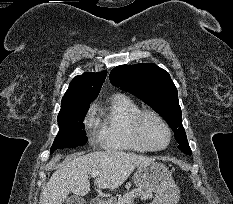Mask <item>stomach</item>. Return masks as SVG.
Wrapping results in <instances>:
<instances>
[{
	"mask_svg": "<svg viewBox=\"0 0 233 204\" xmlns=\"http://www.w3.org/2000/svg\"><path fill=\"white\" fill-rule=\"evenodd\" d=\"M133 179L138 188L156 194L152 204H177L179 201V189L162 163L152 161L137 167Z\"/></svg>",
	"mask_w": 233,
	"mask_h": 204,
	"instance_id": "obj_1",
	"label": "stomach"
}]
</instances>
